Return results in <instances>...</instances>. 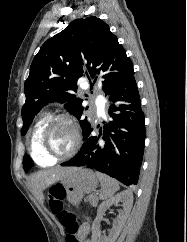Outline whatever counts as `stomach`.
<instances>
[{"label":"stomach","instance_id":"obj_1","mask_svg":"<svg viewBox=\"0 0 187 242\" xmlns=\"http://www.w3.org/2000/svg\"><path fill=\"white\" fill-rule=\"evenodd\" d=\"M60 184L65 189L67 200L77 206L85 193H91L97 188L98 178L90 169L76 168Z\"/></svg>","mask_w":187,"mask_h":242}]
</instances>
